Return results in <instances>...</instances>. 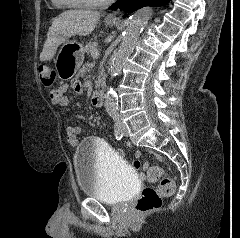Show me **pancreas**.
<instances>
[{"label":"pancreas","mask_w":240,"mask_h":238,"mask_svg":"<svg viewBox=\"0 0 240 238\" xmlns=\"http://www.w3.org/2000/svg\"><path fill=\"white\" fill-rule=\"evenodd\" d=\"M84 51L87 53V55H91L92 56V53L93 51H98V47H97V43L95 42H90L86 45ZM93 57V56H92ZM99 86L98 82H97V85H96V88Z\"/></svg>","instance_id":"obj_1"}]
</instances>
